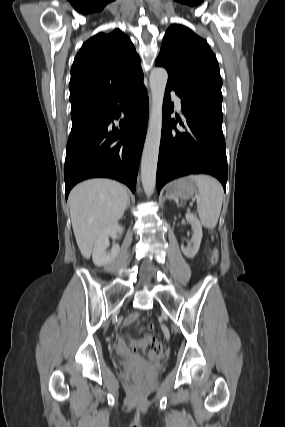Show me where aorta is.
<instances>
[{
	"instance_id": "1",
	"label": "aorta",
	"mask_w": 285,
	"mask_h": 427,
	"mask_svg": "<svg viewBox=\"0 0 285 427\" xmlns=\"http://www.w3.org/2000/svg\"><path fill=\"white\" fill-rule=\"evenodd\" d=\"M167 80L168 73L162 67L154 68L150 73L152 106L141 160V181L148 196L152 195L155 190L162 130V108Z\"/></svg>"
}]
</instances>
